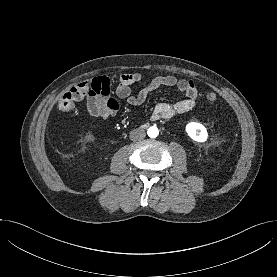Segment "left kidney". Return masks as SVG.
I'll return each instance as SVG.
<instances>
[{
	"mask_svg": "<svg viewBox=\"0 0 277 277\" xmlns=\"http://www.w3.org/2000/svg\"><path fill=\"white\" fill-rule=\"evenodd\" d=\"M186 132L188 136L198 142L203 143L207 141L208 138V132L206 127L198 122H190L186 125Z\"/></svg>",
	"mask_w": 277,
	"mask_h": 277,
	"instance_id": "5707ae66",
	"label": "left kidney"
}]
</instances>
